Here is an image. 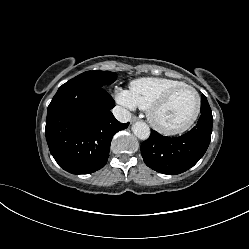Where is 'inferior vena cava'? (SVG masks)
<instances>
[{"instance_id": "obj_1", "label": "inferior vena cava", "mask_w": 249, "mask_h": 249, "mask_svg": "<svg viewBox=\"0 0 249 249\" xmlns=\"http://www.w3.org/2000/svg\"><path fill=\"white\" fill-rule=\"evenodd\" d=\"M112 113L115 118L122 123H126L131 119V113L121 106H115Z\"/></svg>"}]
</instances>
